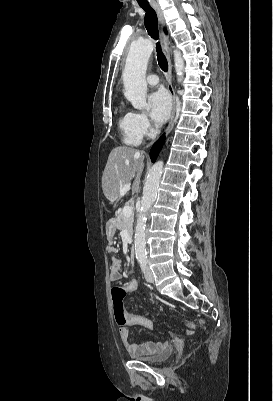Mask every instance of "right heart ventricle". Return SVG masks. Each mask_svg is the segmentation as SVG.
Listing matches in <instances>:
<instances>
[{"label": "right heart ventricle", "instance_id": "e07e8e85", "mask_svg": "<svg viewBox=\"0 0 273 401\" xmlns=\"http://www.w3.org/2000/svg\"><path fill=\"white\" fill-rule=\"evenodd\" d=\"M118 111L120 113L118 127L122 133L124 143L132 146L139 145L141 142V137L138 136L133 129L130 112L125 110L123 104L118 107Z\"/></svg>", "mask_w": 273, "mask_h": 401}]
</instances>
